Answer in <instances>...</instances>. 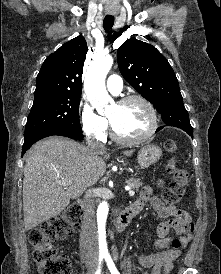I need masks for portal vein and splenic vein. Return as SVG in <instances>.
Wrapping results in <instances>:
<instances>
[{
    "instance_id": "18ae733b",
    "label": "portal vein and splenic vein",
    "mask_w": 221,
    "mask_h": 274,
    "mask_svg": "<svg viewBox=\"0 0 221 274\" xmlns=\"http://www.w3.org/2000/svg\"><path fill=\"white\" fill-rule=\"evenodd\" d=\"M65 184H71V181H67ZM125 189L129 191L130 196H133L135 194V192L131 190L130 187H125Z\"/></svg>"
}]
</instances>
